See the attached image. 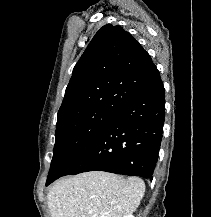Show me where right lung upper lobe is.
<instances>
[{"label":"right lung upper lobe","instance_id":"right-lung-upper-lobe-1","mask_svg":"<svg viewBox=\"0 0 211 217\" xmlns=\"http://www.w3.org/2000/svg\"><path fill=\"white\" fill-rule=\"evenodd\" d=\"M159 80L158 69L140 43L121 26L104 25L73 69L57 125L87 113L118 112Z\"/></svg>","mask_w":211,"mask_h":217}]
</instances>
